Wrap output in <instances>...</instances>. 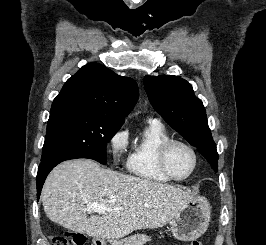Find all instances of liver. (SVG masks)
I'll return each mask as SVG.
<instances>
[{"label": "liver", "instance_id": "obj_1", "mask_svg": "<svg viewBox=\"0 0 266 245\" xmlns=\"http://www.w3.org/2000/svg\"><path fill=\"white\" fill-rule=\"evenodd\" d=\"M41 199L53 223L75 233L113 241L139 229L164 227L194 197L181 187L102 169L91 159H74L51 171ZM89 203L119 211L88 217L84 209Z\"/></svg>", "mask_w": 266, "mask_h": 245}]
</instances>
